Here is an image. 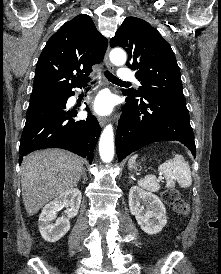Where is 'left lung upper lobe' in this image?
<instances>
[{
  "label": "left lung upper lobe",
  "instance_id": "1",
  "mask_svg": "<svg viewBox=\"0 0 221 274\" xmlns=\"http://www.w3.org/2000/svg\"><path fill=\"white\" fill-rule=\"evenodd\" d=\"M110 46L126 50V65L137 71L135 76L141 84L138 90H123L125 95L135 99H185L175 55L168 42L148 22L127 17Z\"/></svg>",
  "mask_w": 221,
  "mask_h": 274
}]
</instances>
